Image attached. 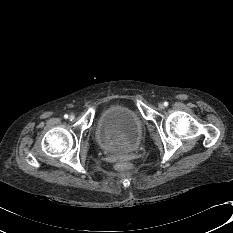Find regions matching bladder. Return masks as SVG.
Instances as JSON below:
<instances>
[{"label":"bladder","instance_id":"obj_1","mask_svg":"<svg viewBox=\"0 0 233 233\" xmlns=\"http://www.w3.org/2000/svg\"><path fill=\"white\" fill-rule=\"evenodd\" d=\"M145 124L139 113L126 105L105 108L94 124V135L102 146L120 153L134 150L142 141Z\"/></svg>","mask_w":233,"mask_h":233}]
</instances>
